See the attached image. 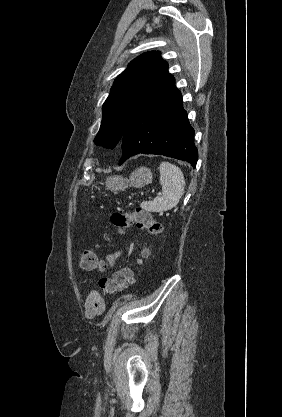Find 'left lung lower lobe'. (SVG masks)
<instances>
[{"label": "left lung lower lobe", "mask_w": 282, "mask_h": 417, "mask_svg": "<svg viewBox=\"0 0 282 417\" xmlns=\"http://www.w3.org/2000/svg\"><path fill=\"white\" fill-rule=\"evenodd\" d=\"M175 80L167 74L159 86L130 115L120 142L122 164L133 155L157 154L188 161L194 168L198 152L194 129L183 108Z\"/></svg>", "instance_id": "obj_1"}]
</instances>
